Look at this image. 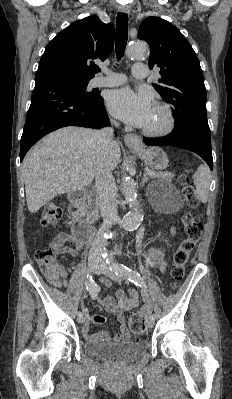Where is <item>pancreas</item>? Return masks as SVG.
Instances as JSON below:
<instances>
[{"instance_id": "obj_1", "label": "pancreas", "mask_w": 232, "mask_h": 399, "mask_svg": "<svg viewBox=\"0 0 232 399\" xmlns=\"http://www.w3.org/2000/svg\"><path fill=\"white\" fill-rule=\"evenodd\" d=\"M153 180L154 178H162V180H172L174 178L173 174L171 172H155V176H152ZM99 200L98 198H94L93 194H90L88 196L87 203L85 205V215H87V219L89 221H95V219H98V209H99Z\"/></svg>"}]
</instances>
